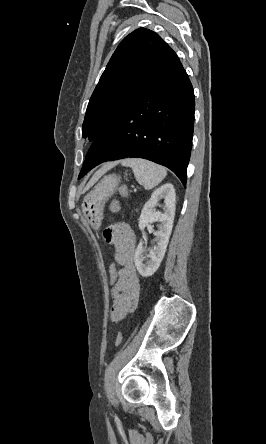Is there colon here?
<instances>
[{
	"label": "colon",
	"mask_w": 266,
	"mask_h": 444,
	"mask_svg": "<svg viewBox=\"0 0 266 444\" xmlns=\"http://www.w3.org/2000/svg\"><path fill=\"white\" fill-rule=\"evenodd\" d=\"M118 193L121 197H126L128 195V190L125 186H120L118 188ZM110 209L112 212L116 213L120 210V202L119 200H114L110 204ZM119 278V267L118 264L114 261L110 264L108 271H107V279L108 283L111 286V289H113L118 281ZM123 340V334L122 332H119L115 338V346H119L122 343Z\"/></svg>",
	"instance_id": "obj_1"
}]
</instances>
